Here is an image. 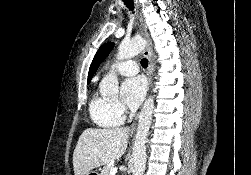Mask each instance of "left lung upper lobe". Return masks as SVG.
Instances as JSON below:
<instances>
[{
  "mask_svg": "<svg viewBox=\"0 0 251 175\" xmlns=\"http://www.w3.org/2000/svg\"><path fill=\"white\" fill-rule=\"evenodd\" d=\"M113 43L112 42H108L106 44H103L99 50L97 51V53L94 56V59L90 65V69H89V73H88V84L91 81L93 75L96 73L98 67L100 66V64L102 63V61L108 56V54L111 52L112 48H113Z\"/></svg>",
  "mask_w": 251,
  "mask_h": 175,
  "instance_id": "5c2ea615",
  "label": "left lung upper lobe"
}]
</instances>
